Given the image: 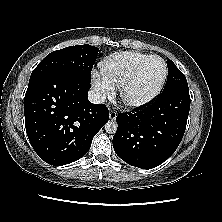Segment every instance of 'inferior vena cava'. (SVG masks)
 <instances>
[{
	"mask_svg": "<svg viewBox=\"0 0 222 222\" xmlns=\"http://www.w3.org/2000/svg\"><path fill=\"white\" fill-rule=\"evenodd\" d=\"M88 99L93 104H102L105 102L106 96L101 92L90 90L88 92Z\"/></svg>",
	"mask_w": 222,
	"mask_h": 222,
	"instance_id": "inferior-vena-cava-1",
	"label": "inferior vena cava"
}]
</instances>
